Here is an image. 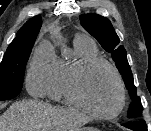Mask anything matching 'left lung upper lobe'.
<instances>
[{
	"instance_id": "obj_1",
	"label": "left lung upper lobe",
	"mask_w": 151,
	"mask_h": 131,
	"mask_svg": "<svg viewBox=\"0 0 151 131\" xmlns=\"http://www.w3.org/2000/svg\"><path fill=\"white\" fill-rule=\"evenodd\" d=\"M80 23L93 37H95L101 46L109 53L119 70L126 88L132 99V103L128 110L129 118H136L142 114L143 106L140 97L137 96L134 79L131 68L128 64L126 50L119 45V37L117 36L110 21L98 14H82L80 15Z\"/></svg>"
}]
</instances>
